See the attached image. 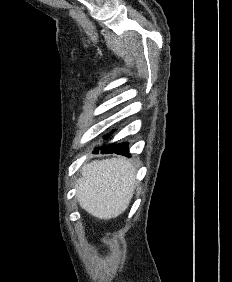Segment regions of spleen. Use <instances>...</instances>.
Listing matches in <instances>:
<instances>
[{"mask_svg": "<svg viewBox=\"0 0 232 282\" xmlns=\"http://www.w3.org/2000/svg\"><path fill=\"white\" fill-rule=\"evenodd\" d=\"M77 199L83 209L99 219H111L128 207L134 190L135 169L129 160L94 161L82 169Z\"/></svg>", "mask_w": 232, "mask_h": 282, "instance_id": "3e777b00", "label": "spleen"}]
</instances>
